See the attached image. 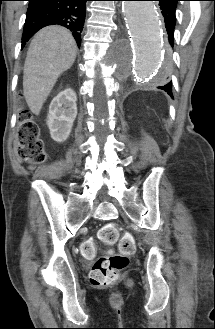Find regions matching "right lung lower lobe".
<instances>
[{
	"label": "right lung lower lobe",
	"mask_w": 215,
	"mask_h": 329,
	"mask_svg": "<svg viewBox=\"0 0 215 329\" xmlns=\"http://www.w3.org/2000/svg\"><path fill=\"white\" fill-rule=\"evenodd\" d=\"M22 43L27 42L39 29L59 24L69 28L77 42L81 44L86 2L89 0H28ZM24 44H22V47Z\"/></svg>",
	"instance_id": "obj_1"
}]
</instances>
